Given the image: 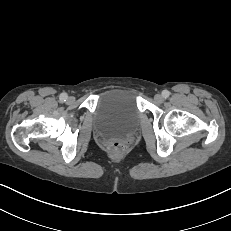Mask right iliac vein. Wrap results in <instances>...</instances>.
I'll return each mask as SVG.
<instances>
[{
    "instance_id": "obj_1",
    "label": "right iliac vein",
    "mask_w": 231,
    "mask_h": 231,
    "mask_svg": "<svg viewBox=\"0 0 231 231\" xmlns=\"http://www.w3.org/2000/svg\"><path fill=\"white\" fill-rule=\"evenodd\" d=\"M68 102L73 103L74 102V97H69Z\"/></svg>"
}]
</instances>
